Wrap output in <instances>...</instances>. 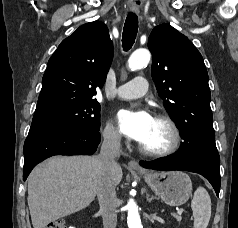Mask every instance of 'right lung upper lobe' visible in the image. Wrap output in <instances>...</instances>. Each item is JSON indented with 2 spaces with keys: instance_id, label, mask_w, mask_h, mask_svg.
I'll use <instances>...</instances> for the list:
<instances>
[{
  "instance_id": "1",
  "label": "right lung upper lobe",
  "mask_w": 238,
  "mask_h": 228,
  "mask_svg": "<svg viewBox=\"0 0 238 228\" xmlns=\"http://www.w3.org/2000/svg\"><path fill=\"white\" fill-rule=\"evenodd\" d=\"M113 59L107 26L99 21L80 26L64 39L48 61L34 117L95 100Z\"/></svg>"
}]
</instances>
